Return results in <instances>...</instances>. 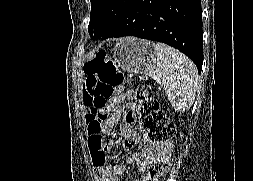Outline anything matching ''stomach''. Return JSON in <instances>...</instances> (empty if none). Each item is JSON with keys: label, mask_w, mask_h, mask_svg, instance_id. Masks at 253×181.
<instances>
[{"label": "stomach", "mask_w": 253, "mask_h": 181, "mask_svg": "<svg viewBox=\"0 0 253 181\" xmlns=\"http://www.w3.org/2000/svg\"><path fill=\"white\" fill-rule=\"evenodd\" d=\"M157 50L151 41L133 37L119 40L112 50L117 67L129 73L148 74L156 67Z\"/></svg>", "instance_id": "obj_1"}]
</instances>
